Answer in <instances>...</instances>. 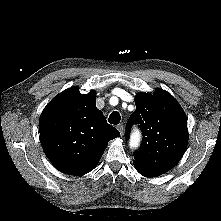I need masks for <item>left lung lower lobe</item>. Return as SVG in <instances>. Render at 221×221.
I'll list each match as a JSON object with an SVG mask.
<instances>
[{
	"instance_id": "left-lung-lower-lobe-1",
	"label": "left lung lower lobe",
	"mask_w": 221,
	"mask_h": 221,
	"mask_svg": "<svg viewBox=\"0 0 221 221\" xmlns=\"http://www.w3.org/2000/svg\"><path fill=\"white\" fill-rule=\"evenodd\" d=\"M134 167L136 168V170L143 176L145 177H156V176H159L161 174L159 173H156V172H153V171H149V170H146V169H143L139 166H135Z\"/></svg>"
}]
</instances>
